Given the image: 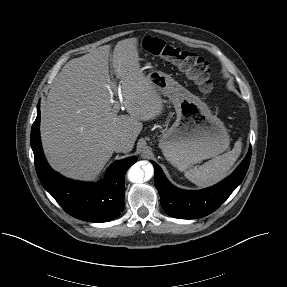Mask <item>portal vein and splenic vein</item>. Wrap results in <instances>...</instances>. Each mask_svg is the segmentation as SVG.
<instances>
[{
  "instance_id": "obj_1",
  "label": "portal vein and splenic vein",
  "mask_w": 287,
  "mask_h": 287,
  "mask_svg": "<svg viewBox=\"0 0 287 287\" xmlns=\"http://www.w3.org/2000/svg\"><path fill=\"white\" fill-rule=\"evenodd\" d=\"M117 93H118L119 102H118V101H113V102L115 103V104H114V109H115L116 112L119 111L120 105L123 104V96H122V93H121V88H120V86L118 87Z\"/></svg>"
}]
</instances>
